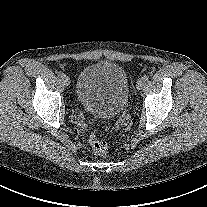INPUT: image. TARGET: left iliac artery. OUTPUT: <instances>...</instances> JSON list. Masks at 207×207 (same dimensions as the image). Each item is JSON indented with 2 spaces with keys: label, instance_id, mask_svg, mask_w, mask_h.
<instances>
[{
  "label": "left iliac artery",
  "instance_id": "obj_1",
  "mask_svg": "<svg viewBox=\"0 0 207 207\" xmlns=\"http://www.w3.org/2000/svg\"><path fill=\"white\" fill-rule=\"evenodd\" d=\"M142 79H143L144 81H147V80L149 79V76L145 74V75L142 77Z\"/></svg>",
  "mask_w": 207,
  "mask_h": 207
}]
</instances>
